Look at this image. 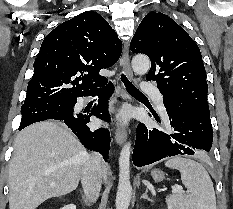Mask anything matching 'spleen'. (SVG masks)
Segmentation results:
<instances>
[{
	"mask_svg": "<svg viewBox=\"0 0 233 209\" xmlns=\"http://www.w3.org/2000/svg\"><path fill=\"white\" fill-rule=\"evenodd\" d=\"M165 166L179 170L187 194H173L166 198L168 209H216V197L211 178L202 164L194 160L174 157Z\"/></svg>",
	"mask_w": 233,
	"mask_h": 209,
	"instance_id": "1",
	"label": "spleen"
}]
</instances>
